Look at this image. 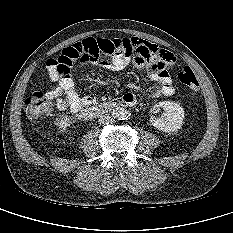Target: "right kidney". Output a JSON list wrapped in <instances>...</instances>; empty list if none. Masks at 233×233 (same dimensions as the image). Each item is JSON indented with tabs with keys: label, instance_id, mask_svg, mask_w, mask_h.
I'll return each instance as SVG.
<instances>
[{
	"label": "right kidney",
	"instance_id": "ca27d5eb",
	"mask_svg": "<svg viewBox=\"0 0 233 233\" xmlns=\"http://www.w3.org/2000/svg\"><path fill=\"white\" fill-rule=\"evenodd\" d=\"M70 123H71V121H70L69 117H67V116L63 117L58 123L59 130H60L59 132H61V133L66 132V129H67V127L70 126Z\"/></svg>",
	"mask_w": 233,
	"mask_h": 233
}]
</instances>
